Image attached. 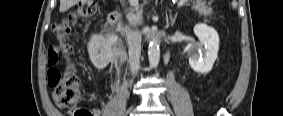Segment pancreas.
<instances>
[{
    "label": "pancreas",
    "instance_id": "pancreas-1",
    "mask_svg": "<svg viewBox=\"0 0 283 116\" xmlns=\"http://www.w3.org/2000/svg\"><path fill=\"white\" fill-rule=\"evenodd\" d=\"M195 9H196V11L199 12L200 15H204V16H207V15H209L212 12V9L210 7L203 6V5H196ZM130 22L131 23H136L137 19L132 16V17H130ZM118 31L121 32V33H125L127 31V29L123 28V27H120L118 29Z\"/></svg>",
    "mask_w": 283,
    "mask_h": 116
}]
</instances>
